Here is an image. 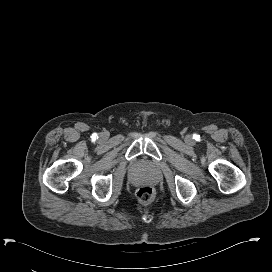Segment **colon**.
I'll list each match as a JSON object with an SVG mask.
<instances>
[{
	"label": "colon",
	"instance_id": "5ec220e1",
	"mask_svg": "<svg viewBox=\"0 0 272 272\" xmlns=\"http://www.w3.org/2000/svg\"><path fill=\"white\" fill-rule=\"evenodd\" d=\"M136 196L142 203H150L155 196L154 189L151 186H141L136 191Z\"/></svg>",
	"mask_w": 272,
	"mask_h": 272
}]
</instances>
